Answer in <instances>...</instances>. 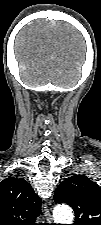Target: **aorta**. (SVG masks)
<instances>
[{
	"instance_id": "1",
	"label": "aorta",
	"mask_w": 101,
	"mask_h": 225,
	"mask_svg": "<svg viewBox=\"0 0 101 225\" xmlns=\"http://www.w3.org/2000/svg\"><path fill=\"white\" fill-rule=\"evenodd\" d=\"M53 217L57 224H72L74 215L70 207L58 205L54 209Z\"/></svg>"
}]
</instances>
